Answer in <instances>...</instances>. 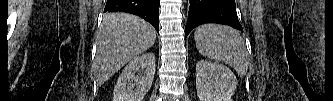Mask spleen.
Returning <instances> with one entry per match:
<instances>
[{
	"instance_id": "obj_1",
	"label": "spleen",
	"mask_w": 333,
	"mask_h": 101,
	"mask_svg": "<svg viewBox=\"0 0 333 101\" xmlns=\"http://www.w3.org/2000/svg\"><path fill=\"white\" fill-rule=\"evenodd\" d=\"M194 39L203 56L227 63L241 77L245 76L249 55L238 31L224 25L205 24L196 29Z\"/></svg>"
}]
</instances>
